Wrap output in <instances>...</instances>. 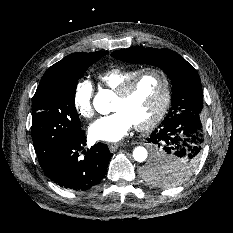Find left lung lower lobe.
I'll return each instance as SVG.
<instances>
[{
  "label": "left lung lower lobe",
  "mask_w": 233,
  "mask_h": 233,
  "mask_svg": "<svg viewBox=\"0 0 233 233\" xmlns=\"http://www.w3.org/2000/svg\"><path fill=\"white\" fill-rule=\"evenodd\" d=\"M147 141L155 150L150 165H163L171 158H199L204 141L201 121L191 115L172 118L162 122Z\"/></svg>",
  "instance_id": "left-lung-lower-lobe-1"
}]
</instances>
